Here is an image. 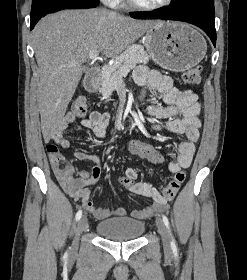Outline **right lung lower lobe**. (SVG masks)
<instances>
[{
	"mask_svg": "<svg viewBox=\"0 0 247 280\" xmlns=\"http://www.w3.org/2000/svg\"><path fill=\"white\" fill-rule=\"evenodd\" d=\"M98 4L90 1H84V0H73V1H64L60 2L57 4L52 5L49 7L40 17L31 20L30 28L33 29L35 24L38 22V20L45 16L48 13L57 11V10H62V9H69V8H92L96 7Z\"/></svg>",
	"mask_w": 247,
	"mask_h": 280,
	"instance_id": "1",
	"label": "right lung lower lobe"
}]
</instances>
